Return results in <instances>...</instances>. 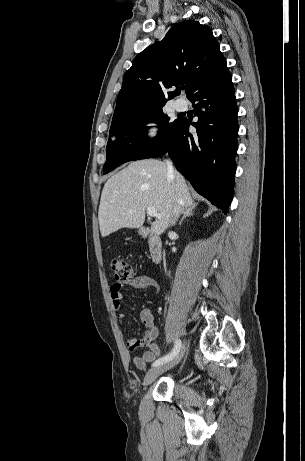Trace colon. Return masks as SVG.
I'll use <instances>...</instances> for the list:
<instances>
[{"mask_svg":"<svg viewBox=\"0 0 305 461\" xmlns=\"http://www.w3.org/2000/svg\"><path fill=\"white\" fill-rule=\"evenodd\" d=\"M110 266L115 279L120 282L131 280L137 274V268L121 257L112 258Z\"/></svg>","mask_w":305,"mask_h":461,"instance_id":"5ec220e1","label":"colon"}]
</instances>
